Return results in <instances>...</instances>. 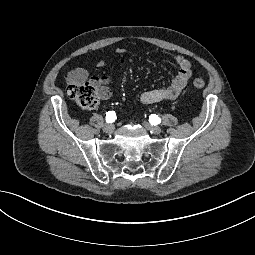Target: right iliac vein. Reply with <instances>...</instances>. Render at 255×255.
Masks as SVG:
<instances>
[{
    "mask_svg": "<svg viewBox=\"0 0 255 255\" xmlns=\"http://www.w3.org/2000/svg\"><path fill=\"white\" fill-rule=\"evenodd\" d=\"M104 132L106 133H112L114 131V125L113 124H105L103 127Z\"/></svg>",
    "mask_w": 255,
    "mask_h": 255,
    "instance_id": "63e3f726",
    "label": "right iliac vein"
}]
</instances>
